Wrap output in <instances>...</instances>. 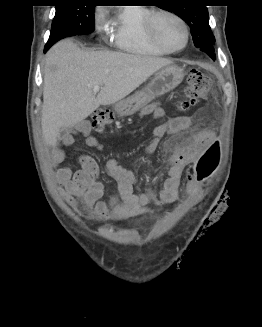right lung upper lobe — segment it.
I'll use <instances>...</instances> for the list:
<instances>
[{
	"instance_id": "obj_1",
	"label": "right lung upper lobe",
	"mask_w": 262,
	"mask_h": 327,
	"mask_svg": "<svg viewBox=\"0 0 262 327\" xmlns=\"http://www.w3.org/2000/svg\"><path fill=\"white\" fill-rule=\"evenodd\" d=\"M59 2H66V1H77V0H57Z\"/></svg>"
}]
</instances>
